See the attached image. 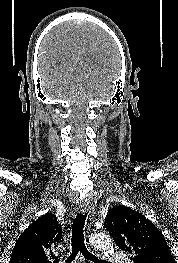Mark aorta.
I'll return each mask as SVG.
<instances>
[{
    "mask_svg": "<svg viewBox=\"0 0 178 263\" xmlns=\"http://www.w3.org/2000/svg\"><path fill=\"white\" fill-rule=\"evenodd\" d=\"M90 242L97 249L103 250L105 254H112L114 251L112 239L106 234H93L90 238Z\"/></svg>",
    "mask_w": 178,
    "mask_h": 263,
    "instance_id": "obj_1",
    "label": "aorta"
}]
</instances>
